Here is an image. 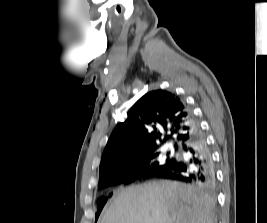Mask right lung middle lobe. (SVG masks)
Returning <instances> with one entry per match:
<instances>
[{
	"mask_svg": "<svg viewBox=\"0 0 267 223\" xmlns=\"http://www.w3.org/2000/svg\"><path fill=\"white\" fill-rule=\"evenodd\" d=\"M176 151H167V152H154L146 157L140 158L136 161V170L132 175H127L123 172V169H116L108 173L102 179L99 180V187L110 186L111 182L119 177H130L131 181L147 179L154 177L161 170L165 169L168 166L174 164L177 160ZM107 202V197H101L98 200V211L96 213V219L99 216L104 204Z\"/></svg>",
	"mask_w": 267,
	"mask_h": 223,
	"instance_id": "obj_1",
	"label": "right lung middle lobe"
}]
</instances>
